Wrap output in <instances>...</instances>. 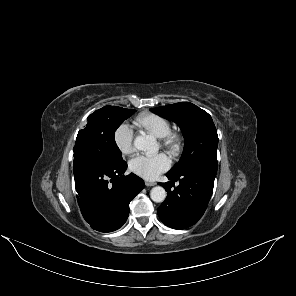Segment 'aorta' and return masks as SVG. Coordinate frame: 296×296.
<instances>
[{
	"instance_id": "762f6f07",
	"label": "aorta",
	"mask_w": 296,
	"mask_h": 296,
	"mask_svg": "<svg viewBox=\"0 0 296 296\" xmlns=\"http://www.w3.org/2000/svg\"><path fill=\"white\" fill-rule=\"evenodd\" d=\"M134 147L137 150L154 153L158 150V145L151 135H140L134 140ZM166 190L162 186H155L150 191L151 199L160 203L166 199Z\"/></svg>"
}]
</instances>
